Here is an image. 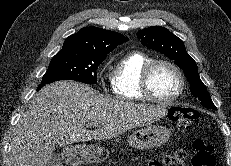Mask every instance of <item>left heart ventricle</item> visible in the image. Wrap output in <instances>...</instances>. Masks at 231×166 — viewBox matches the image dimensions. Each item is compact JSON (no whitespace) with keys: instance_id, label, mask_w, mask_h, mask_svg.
<instances>
[{"instance_id":"1","label":"left heart ventricle","mask_w":231,"mask_h":166,"mask_svg":"<svg viewBox=\"0 0 231 166\" xmlns=\"http://www.w3.org/2000/svg\"><path fill=\"white\" fill-rule=\"evenodd\" d=\"M150 86L156 97L168 99L177 92L179 80L170 67L158 65L151 75Z\"/></svg>"}]
</instances>
